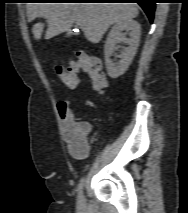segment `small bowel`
Here are the masks:
<instances>
[{"instance_id": "c3829d8e", "label": "small bowel", "mask_w": 188, "mask_h": 213, "mask_svg": "<svg viewBox=\"0 0 188 213\" xmlns=\"http://www.w3.org/2000/svg\"><path fill=\"white\" fill-rule=\"evenodd\" d=\"M86 104L89 107H95L90 101ZM57 110L70 154L80 160L86 159L90 151L88 136L92 130L91 124L88 121H77L74 116V107L65 101L58 103Z\"/></svg>"}]
</instances>
